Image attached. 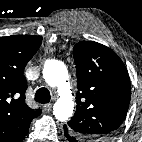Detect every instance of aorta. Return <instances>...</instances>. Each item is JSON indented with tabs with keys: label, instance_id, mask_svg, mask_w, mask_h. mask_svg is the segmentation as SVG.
<instances>
[{
	"label": "aorta",
	"instance_id": "aorta-1",
	"mask_svg": "<svg viewBox=\"0 0 142 142\" xmlns=\"http://www.w3.org/2000/svg\"><path fill=\"white\" fill-rule=\"evenodd\" d=\"M43 77L50 87L57 89L60 96L53 107L55 118L59 121L68 120L72 116L74 102L67 83L68 72L65 65L58 60H47L43 68Z\"/></svg>",
	"mask_w": 142,
	"mask_h": 142
}]
</instances>
